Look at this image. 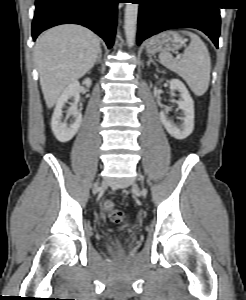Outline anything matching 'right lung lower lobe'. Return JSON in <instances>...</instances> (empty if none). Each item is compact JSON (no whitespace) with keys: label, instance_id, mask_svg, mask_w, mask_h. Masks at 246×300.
I'll use <instances>...</instances> for the list:
<instances>
[{"label":"right lung lower lobe","instance_id":"obj_1","mask_svg":"<svg viewBox=\"0 0 246 300\" xmlns=\"http://www.w3.org/2000/svg\"><path fill=\"white\" fill-rule=\"evenodd\" d=\"M119 2L120 0H36L32 23L33 40L50 27L74 23L94 31L111 48Z\"/></svg>","mask_w":246,"mask_h":300}]
</instances>
